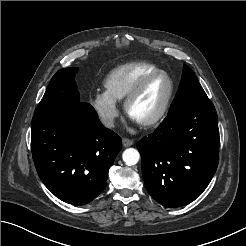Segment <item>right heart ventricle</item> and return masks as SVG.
Returning <instances> with one entry per match:
<instances>
[{"mask_svg": "<svg viewBox=\"0 0 246 246\" xmlns=\"http://www.w3.org/2000/svg\"><path fill=\"white\" fill-rule=\"evenodd\" d=\"M159 70L161 69L157 65L150 62L122 64L106 76L105 90L115 101H123L141 78Z\"/></svg>", "mask_w": 246, "mask_h": 246, "instance_id": "e07e8e85", "label": "right heart ventricle"}]
</instances>
